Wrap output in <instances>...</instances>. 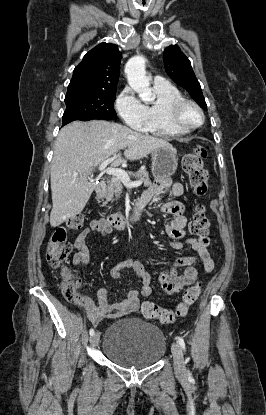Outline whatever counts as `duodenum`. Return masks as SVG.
Listing matches in <instances>:
<instances>
[{
  "label": "duodenum",
  "instance_id": "duodenum-1",
  "mask_svg": "<svg viewBox=\"0 0 266 415\" xmlns=\"http://www.w3.org/2000/svg\"><path fill=\"white\" fill-rule=\"evenodd\" d=\"M105 189V183L100 182L95 186V193L97 195H101ZM144 204L140 203L139 201L135 204V206L132 208V210L126 214H114L109 216L105 222L108 227L114 228V229H124L133 223H135L143 210Z\"/></svg>",
  "mask_w": 266,
  "mask_h": 415
}]
</instances>
